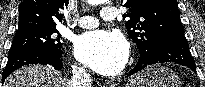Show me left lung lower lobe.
<instances>
[{
	"label": "left lung lower lobe",
	"mask_w": 205,
	"mask_h": 87,
	"mask_svg": "<svg viewBox=\"0 0 205 87\" xmlns=\"http://www.w3.org/2000/svg\"><path fill=\"white\" fill-rule=\"evenodd\" d=\"M166 62H175L196 72L184 30H175L164 35L155 48V52L147 57H140L128 76L141 71L148 65Z\"/></svg>",
	"instance_id": "1"
}]
</instances>
